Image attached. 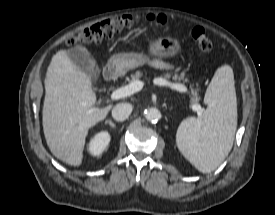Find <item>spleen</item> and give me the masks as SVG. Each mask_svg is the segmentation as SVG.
I'll list each match as a JSON object with an SVG mask.
<instances>
[{
  "label": "spleen",
  "mask_w": 275,
  "mask_h": 215,
  "mask_svg": "<svg viewBox=\"0 0 275 215\" xmlns=\"http://www.w3.org/2000/svg\"><path fill=\"white\" fill-rule=\"evenodd\" d=\"M204 102L207 109L201 117H190L181 122L176 144L196 169L209 173L229 154L237 127L234 74L229 65L217 69Z\"/></svg>",
  "instance_id": "obj_1"
}]
</instances>
